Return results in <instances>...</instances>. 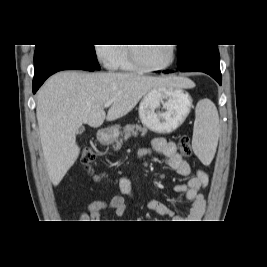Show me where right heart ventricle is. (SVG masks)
<instances>
[{
    "mask_svg": "<svg viewBox=\"0 0 267 267\" xmlns=\"http://www.w3.org/2000/svg\"><path fill=\"white\" fill-rule=\"evenodd\" d=\"M115 68L124 70V71H135L137 68L130 62L128 56V50L125 47H119L116 60Z\"/></svg>",
    "mask_w": 267,
    "mask_h": 267,
    "instance_id": "1",
    "label": "right heart ventricle"
}]
</instances>
